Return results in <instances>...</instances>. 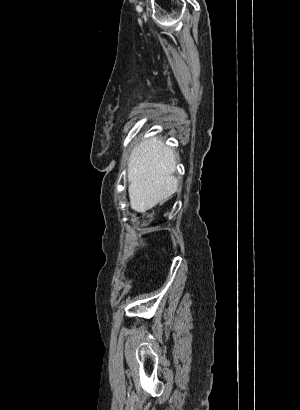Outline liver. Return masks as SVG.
<instances>
[{
    "label": "liver",
    "mask_w": 300,
    "mask_h": 410,
    "mask_svg": "<svg viewBox=\"0 0 300 410\" xmlns=\"http://www.w3.org/2000/svg\"><path fill=\"white\" fill-rule=\"evenodd\" d=\"M128 166V193L134 211L145 213L176 192V154L160 137L139 142Z\"/></svg>",
    "instance_id": "obj_1"
}]
</instances>
